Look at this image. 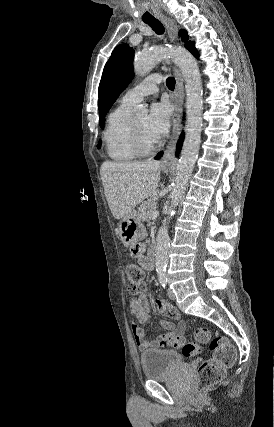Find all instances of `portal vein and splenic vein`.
<instances>
[{
    "mask_svg": "<svg viewBox=\"0 0 274 427\" xmlns=\"http://www.w3.org/2000/svg\"><path fill=\"white\" fill-rule=\"evenodd\" d=\"M158 215H159V212H157V210H156V212H153V214H152V219H156V217H158Z\"/></svg>",
    "mask_w": 274,
    "mask_h": 427,
    "instance_id": "portal-vein-and-splenic-vein-1",
    "label": "portal vein and splenic vein"
}]
</instances>
